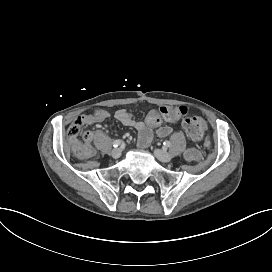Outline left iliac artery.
<instances>
[{"label": "left iliac artery", "mask_w": 272, "mask_h": 272, "mask_svg": "<svg viewBox=\"0 0 272 272\" xmlns=\"http://www.w3.org/2000/svg\"><path fill=\"white\" fill-rule=\"evenodd\" d=\"M163 145L164 147H170L171 143L169 141H164Z\"/></svg>", "instance_id": "left-iliac-artery-1"}]
</instances>
